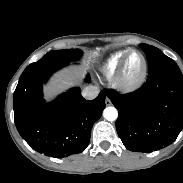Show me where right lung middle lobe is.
<instances>
[{
    "label": "right lung middle lobe",
    "instance_id": "1",
    "mask_svg": "<svg viewBox=\"0 0 183 183\" xmlns=\"http://www.w3.org/2000/svg\"><path fill=\"white\" fill-rule=\"evenodd\" d=\"M82 55L80 49H65L50 51L44 55L39 61L31 63L24 71L42 70L45 68L66 65L69 62L78 60Z\"/></svg>",
    "mask_w": 183,
    "mask_h": 183
}]
</instances>
